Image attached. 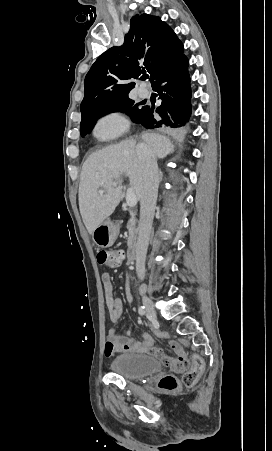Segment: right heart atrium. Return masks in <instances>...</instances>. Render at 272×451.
I'll use <instances>...</instances> for the list:
<instances>
[{"label":"right heart atrium","instance_id":"1","mask_svg":"<svg viewBox=\"0 0 272 451\" xmlns=\"http://www.w3.org/2000/svg\"><path fill=\"white\" fill-rule=\"evenodd\" d=\"M125 126L126 121L120 114H110L99 121L95 133L101 138L110 137L122 132Z\"/></svg>","mask_w":272,"mask_h":451}]
</instances>
